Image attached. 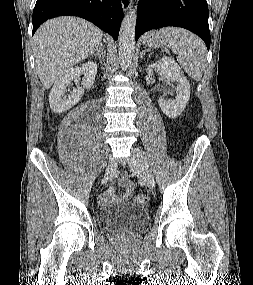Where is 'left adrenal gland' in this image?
Listing matches in <instances>:
<instances>
[{"instance_id": "left-adrenal-gland-1", "label": "left adrenal gland", "mask_w": 253, "mask_h": 285, "mask_svg": "<svg viewBox=\"0 0 253 285\" xmlns=\"http://www.w3.org/2000/svg\"><path fill=\"white\" fill-rule=\"evenodd\" d=\"M148 51H149L148 49L143 50V51L141 52V57H142L143 55H145L146 52H148Z\"/></svg>"}]
</instances>
